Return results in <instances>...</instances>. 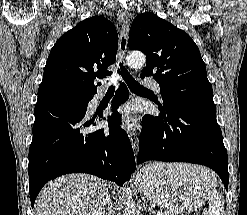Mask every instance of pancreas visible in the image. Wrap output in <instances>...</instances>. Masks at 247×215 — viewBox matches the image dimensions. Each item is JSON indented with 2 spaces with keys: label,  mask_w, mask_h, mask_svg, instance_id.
<instances>
[{
  "label": "pancreas",
  "mask_w": 247,
  "mask_h": 215,
  "mask_svg": "<svg viewBox=\"0 0 247 215\" xmlns=\"http://www.w3.org/2000/svg\"><path fill=\"white\" fill-rule=\"evenodd\" d=\"M165 215H171V214H169V213H166Z\"/></svg>",
  "instance_id": "pancreas-1"
}]
</instances>
